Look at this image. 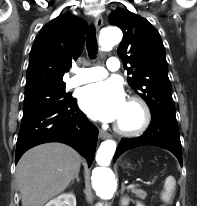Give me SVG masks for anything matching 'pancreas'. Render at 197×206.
I'll return each instance as SVG.
<instances>
[{
	"label": "pancreas",
	"instance_id": "cf45deb5",
	"mask_svg": "<svg viewBox=\"0 0 197 206\" xmlns=\"http://www.w3.org/2000/svg\"><path fill=\"white\" fill-rule=\"evenodd\" d=\"M131 192L134 193L137 197H140L141 199H145L147 194L144 190L139 189L137 187L131 188Z\"/></svg>",
	"mask_w": 197,
	"mask_h": 206
}]
</instances>
